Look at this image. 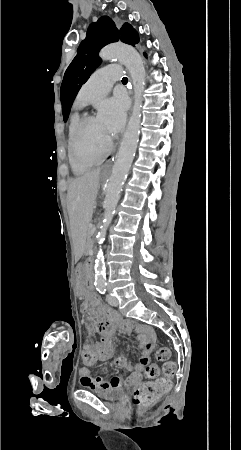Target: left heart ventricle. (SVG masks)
I'll list each match as a JSON object with an SVG mask.
<instances>
[{
  "label": "left heart ventricle",
  "instance_id": "1",
  "mask_svg": "<svg viewBox=\"0 0 241 450\" xmlns=\"http://www.w3.org/2000/svg\"><path fill=\"white\" fill-rule=\"evenodd\" d=\"M79 128L82 129V134L77 143V149L82 156L81 163L85 165L86 169H95L96 162L93 157L102 160L111 148L113 135L110 127L104 121H98V118L93 116L91 121H84Z\"/></svg>",
  "mask_w": 241,
  "mask_h": 450
}]
</instances>
